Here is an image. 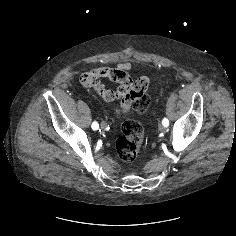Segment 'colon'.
Segmentation results:
<instances>
[{
  "instance_id": "colon-1",
  "label": "colon",
  "mask_w": 236,
  "mask_h": 236,
  "mask_svg": "<svg viewBox=\"0 0 236 236\" xmlns=\"http://www.w3.org/2000/svg\"><path fill=\"white\" fill-rule=\"evenodd\" d=\"M146 90L131 106L136 112H144L148 108L149 98ZM143 135V128L138 121L130 119L123 122L121 134L116 140V151L123 161L135 160L141 148Z\"/></svg>"
}]
</instances>
